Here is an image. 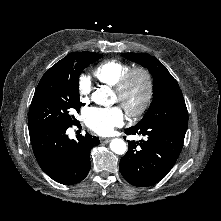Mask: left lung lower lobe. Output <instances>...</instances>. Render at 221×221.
Segmentation results:
<instances>
[{
  "mask_svg": "<svg viewBox=\"0 0 221 221\" xmlns=\"http://www.w3.org/2000/svg\"><path fill=\"white\" fill-rule=\"evenodd\" d=\"M173 117L161 124L133 126L126 134H142L140 142L128 141V151L120 160V171L127 182L146 187L163 179L172 169L183 147L188 112L182 104Z\"/></svg>",
  "mask_w": 221,
  "mask_h": 221,
  "instance_id": "obj_1",
  "label": "left lung lower lobe"
}]
</instances>
